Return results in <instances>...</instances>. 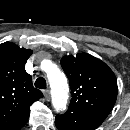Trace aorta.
<instances>
[{"label": "aorta", "mask_w": 130, "mask_h": 130, "mask_svg": "<svg viewBox=\"0 0 130 130\" xmlns=\"http://www.w3.org/2000/svg\"><path fill=\"white\" fill-rule=\"evenodd\" d=\"M47 78L51 88L54 109L57 112L64 111L68 100V84L65 75L58 68H53L50 63Z\"/></svg>", "instance_id": "obj_1"}]
</instances>
